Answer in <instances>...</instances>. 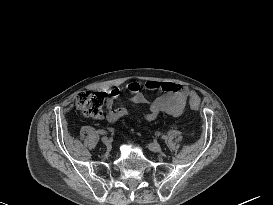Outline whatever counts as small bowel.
Wrapping results in <instances>:
<instances>
[{
	"mask_svg": "<svg viewBox=\"0 0 273 205\" xmlns=\"http://www.w3.org/2000/svg\"><path fill=\"white\" fill-rule=\"evenodd\" d=\"M125 88L131 101L140 105H148V110L140 114V116L147 121L156 119L160 113L179 117L186 110L188 102L192 99H197L198 97L194 90L171 82L160 83L156 81H147L142 86L137 81H130L126 84ZM144 90H161L163 93L150 100L146 97ZM119 95L120 90L114 88L110 90L106 100V117L111 122H116L131 114L130 109L126 107H117L115 105L116 99Z\"/></svg>",
	"mask_w": 273,
	"mask_h": 205,
	"instance_id": "1",
	"label": "small bowel"
}]
</instances>
